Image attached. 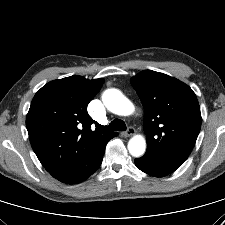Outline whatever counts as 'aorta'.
Wrapping results in <instances>:
<instances>
[{"mask_svg": "<svg viewBox=\"0 0 225 225\" xmlns=\"http://www.w3.org/2000/svg\"><path fill=\"white\" fill-rule=\"evenodd\" d=\"M102 101L114 114L128 116L134 112L133 103L120 90L111 88L104 91ZM129 153L134 157L142 156L146 151V140L142 135L133 136L128 142Z\"/></svg>", "mask_w": 225, "mask_h": 225, "instance_id": "762f6f07", "label": "aorta"}]
</instances>
